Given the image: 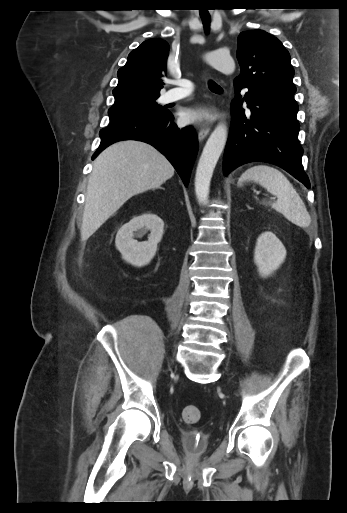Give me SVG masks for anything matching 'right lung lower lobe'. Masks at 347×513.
<instances>
[{
    "label": "right lung lower lobe",
    "mask_w": 347,
    "mask_h": 513,
    "mask_svg": "<svg viewBox=\"0 0 347 513\" xmlns=\"http://www.w3.org/2000/svg\"><path fill=\"white\" fill-rule=\"evenodd\" d=\"M173 118V115L166 111L158 117L132 115L110 120L109 126L100 131L101 143L92 159L117 141H143L166 156L187 187L198 152V141L193 128L179 129L173 123Z\"/></svg>",
    "instance_id": "obj_1"
}]
</instances>
